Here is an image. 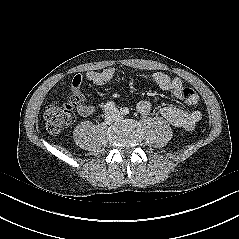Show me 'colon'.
Segmentation results:
<instances>
[{"label": "colon", "instance_id": "colon-1", "mask_svg": "<svg viewBox=\"0 0 239 239\" xmlns=\"http://www.w3.org/2000/svg\"><path fill=\"white\" fill-rule=\"evenodd\" d=\"M183 100L191 106L198 103L199 97L196 91L190 87L182 90ZM77 106V99L71 94L66 102L52 103L44 111V120L47 130L57 134L63 130L72 120L73 109Z\"/></svg>", "mask_w": 239, "mask_h": 239}]
</instances>
